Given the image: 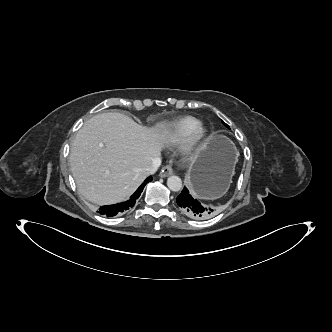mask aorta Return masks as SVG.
<instances>
[{
	"mask_svg": "<svg viewBox=\"0 0 332 332\" xmlns=\"http://www.w3.org/2000/svg\"><path fill=\"white\" fill-rule=\"evenodd\" d=\"M167 186L171 191L178 192L182 189V180L176 175H172L167 179Z\"/></svg>",
	"mask_w": 332,
	"mask_h": 332,
	"instance_id": "762f6f07",
	"label": "aorta"
}]
</instances>
